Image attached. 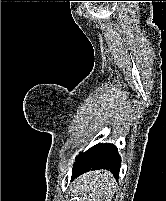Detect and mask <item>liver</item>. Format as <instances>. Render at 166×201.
Wrapping results in <instances>:
<instances>
[{
	"instance_id": "liver-1",
	"label": "liver",
	"mask_w": 166,
	"mask_h": 201,
	"mask_svg": "<svg viewBox=\"0 0 166 201\" xmlns=\"http://www.w3.org/2000/svg\"><path fill=\"white\" fill-rule=\"evenodd\" d=\"M74 189L77 201H112L115 179L107 170L90 171L77 178Z\"/></svg>"
}]
</instances>
